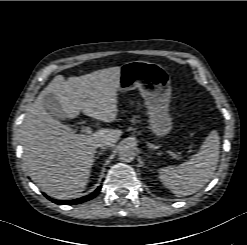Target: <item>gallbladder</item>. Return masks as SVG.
I'll return each mask as SVG.
<instances>
[{
    "mask_svg": "<svg viewBox=\"0 0 247 245\" xmlns=\"http://www.w3.org/2000/svg\"><path fill=\"white\" fill-rule=\"evenodd\" d=\"M43 105L47 113L50 114L52 117L59 119L65 118V114L63 113L61 105L54 94H46L43 99Z\"/></svg>",
    "mask_w": 247,
    "mask_h": 245,
    "instance_id": "obj_1",
    "label": "gallbladder"
}]
</instances>
